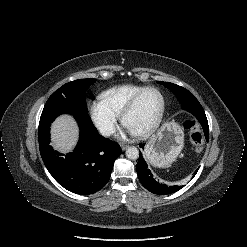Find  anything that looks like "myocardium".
Wrapping results in <instances>:
<instances>
[{
    "label": "myocardium",
    "instance_id": "f54148a6",
    "mask_svg": "<svg viewBox=\"0 0 247 247\" xmlns=\"http://www.w3.org/2000/svg\"><path fill=\"white\" fill-rule=\"evenodd\" d=\"M148 91H155L159 94V96L161 97V110L156 120L148 128L143 131L133 133L139 138H146L150 136L161 125L166 110V100L164 94L156 87H145L132 97V99L128 102L120 115L122 124L126 126L125 121L127 116L133 111L141 96Z\"/></svg>",
    "mask_w": 247,
    "mask_h": 247
}]
</instances>
